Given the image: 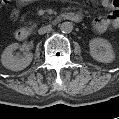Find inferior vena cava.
<instances>
[{
    "label": "inferior vena cava",
    "mask_w": 119,
    "mask_h": 119,
    "mask_svg": "<svg viewBox=\"0 0 119 119\" xmlns=\"http://www.w3.org/2000/svg\"><path fill=\"white\" fill-rule=\"evenodd\" d=\"M51 30H52L51 25H47V26L41 27V28L38 30V33H39L40 35H43V34H45V33H47V32H50Z\"/></svg>",
    "instance_id": "obj_1"
}]
</instances>
